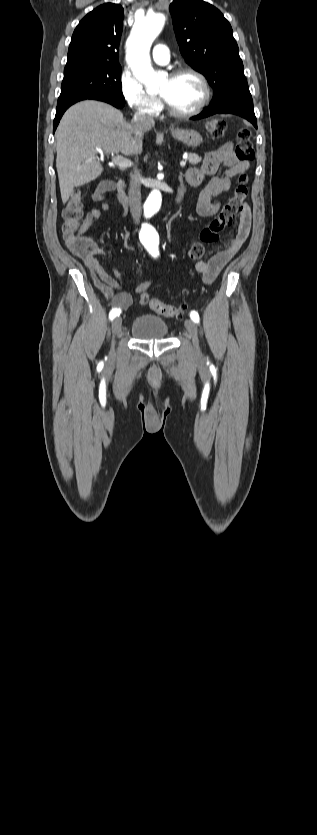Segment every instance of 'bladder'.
<instances>
[{
	"mask_svg": "<svg viewBox=\"0 0 317 835\" xmlns=\"http://www.w3.org/2000/svg\"><path fill=\"white\" fill-rule=\"evenodd\" d=\"M131 334L141 340H161L168 337L169 326L157 315H141L132 323Z\"/></svg>",
	"mask_w": 317,
	"mask_h": 835,
	"instance_id": "bladder-1",
	"label": "bladder"
}]
</instances>
